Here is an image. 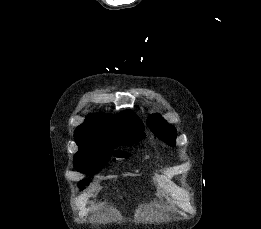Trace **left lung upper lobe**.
Segmentation results:
<instances>
[{"label": "left lung upper lobe", "mask_w": 261, "mask_h": 229, "mask_svg": "<svg viewBox=\"0 0 261 229\" xmlns=\"http://www.w3.org/2000/svg\"><path fill=\"white\" fill-rule=\"evenodd\" d=\"M148 126L165 143L175 146L176 129L168 124L159 114L149 116Z\"/></svg>", "instance_id": "obj_1"}]
</instances>
